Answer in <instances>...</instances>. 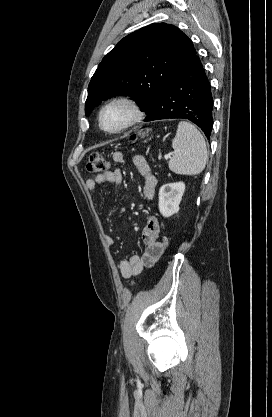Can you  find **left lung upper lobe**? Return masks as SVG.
<instances>
[{"label":"left lung upper lobe","instance_id":"obj_1","mask_svg":"<svg viewBox=\"0 0 272 417\" xmlns=\"http://www.w3.org/2000/svg\"><path fill=\"white\" fill-rule=\"evenodd\" d=\"M177 27L154 23L124 37L102 59L88 86V116L102 100L129 95L147 115L177 72L194 56Z\"/></svg>","mask_w":272,"mask_h":417}]
</instances>
